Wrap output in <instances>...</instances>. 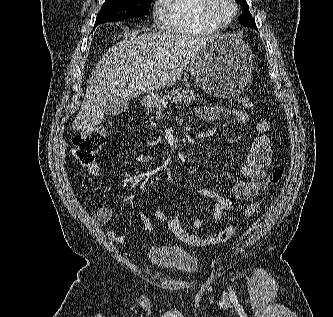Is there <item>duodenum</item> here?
<instances>
[{"mask_svg":"<svg viewBox=\"0 0 333 317\" xmlns=\"http://www.w3.org/2000/svg\"><path fill=\"white\" fill-rule=\"evenodd\" d=\"M153 101H154L153 97H147L145 102L147 105H151Z\"/></svg>","mask_w":333,"mask_h":317,"instance_id":"obj_1","label":"duodenum"}]
</instances>
